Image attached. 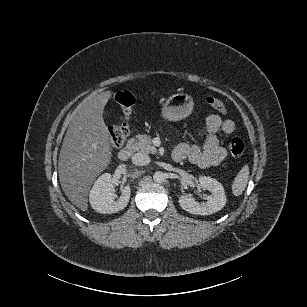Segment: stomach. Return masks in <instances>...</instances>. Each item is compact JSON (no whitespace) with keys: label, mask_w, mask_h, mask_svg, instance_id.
<instances>
[{"label":"stomach","mask_w":307,"mask_h":307,"mask_svg":"<svg viewBox=\"0 0 307 307\" xmlns=\"http://www.w3.org/2000/svg\"><path fill=\"white\" fill-rule=\"evenodd\" d=\"M194 101L187 93H176L170 96L162 107L164 119L172 122L187 118L193 111Z\"/></svg>","instance_id":"1"}]
</instances>
